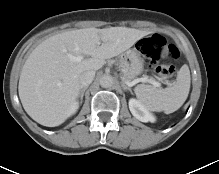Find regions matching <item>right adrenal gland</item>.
Wrapping results in <instances>:
<instances>
[{
  "instance_id": "right-adrenal-gland-1",
  "label": "right adrenal gland",
  "mask_w": 219,
  "mask_h": 174,
  "mask_svg": "<svg viewBox=\"0 0 219 174\" xmlns=\"http://www.w3.org/2000/svg\"><path fill=\"white\" fill-rule=\"evenodd\" d=\"M87 88H88V86H85V87H83V88L80 90V93H79V97H80V100H81L80 103H82L83 96H84V92H85V90H87Z\"/></svg>"
}]
</instances>
